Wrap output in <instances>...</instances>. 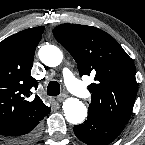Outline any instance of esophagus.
<instances>
[{"instance_id": "obj_1", "label": "esophagus", "mask_w": 145, "mask_h": 145, "mask_svg": "<svg viewBox=\"0 0 145 145\" xmlns=\"http://www.w3.org/2000/svg\"><path fill=\"white\" fill-rule=\"evenodd\" d=\"M67 97V95L65 93H62L61 95H59L57 97V101L61 102L63 101L65 98Z\"/></svg>"}]
</instances>
